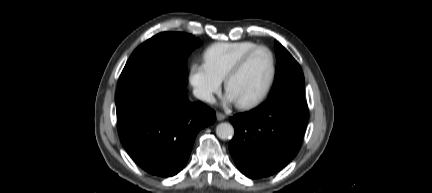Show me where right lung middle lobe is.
Wrapping results in <instances>:
<instances>
[{
    "label": "right lung middle lobe",
    "mask_w": 432,
    "mask_h": 193,
    "mask_svg": "<svg viewBox=\"0 0 432 193\" xmlns=\"http://www.w3.org/2000/svg\"><path fill=\"white\" fill-rule=\"evenodd\" d=\"M202 42L190 34L163 32L140 45L127 61L118 82L123 87L142 79H159L185 90L187 57Z\"/></svg>",
    "instance_id": "1"
}]
</instances>
